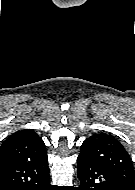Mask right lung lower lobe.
Returning <instances> with one entry per match:
<instances>
[{
    "instance_id": "obj_1",
    "label": "right lung lower lobe",
    "mask_w": 135,
    "mask_h": 190,
    "mask_svg": "<svg viewBox=\"0 0 135 190\" xmlns=\"http://www.w3.org/2000/svg\"><path fill=\"white\" fill-rule=\"evenodd\" d=\"M48 158L0 165V190H54Z\"/></svg>"
}]
</instances>
